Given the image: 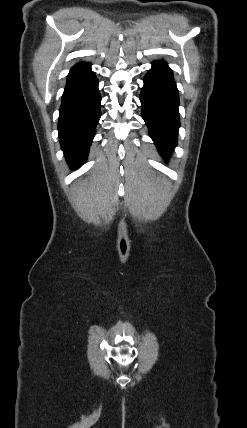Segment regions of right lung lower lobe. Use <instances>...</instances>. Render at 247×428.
<instances>
[{
    "label": "right lung lower lobe",
    "instance_id": "right-lung-lower-lobe-1",
    "mask_svg": "<svg viewBox=\"0 0 247 428\" xmlns=\"http://www.w3.org/2000/svg\"><path fill=\"white\" fill-rule=\"evenodd\" d=\"M98 80L87 62L74 65L68 76L58 121L61 148L71 168L87 159L101 116Z\"/></svg>",
    "mask_w": 247,
    "mask_h": 428
}]
</instances>
